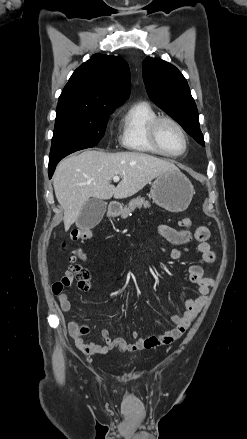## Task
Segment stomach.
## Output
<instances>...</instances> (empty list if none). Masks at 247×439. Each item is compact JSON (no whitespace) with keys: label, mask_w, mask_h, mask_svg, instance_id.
<instances>
[{"label":"stomach","mask_w":247,"mask_h":439,"mask_svg":"<svg viewBox=\"0 0 247 439\" xmlns=\"http://www.w3.org/2000/svg\"><path fill=\"white\" fill-rule=\"evenodd\" d=\"M195 191L190 180L179 170L167 171L154 180L150 195L155 204L170 212H182Z\"/></svg>","instance_id":"0dacf381"}]
</instances>
